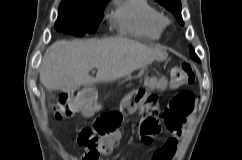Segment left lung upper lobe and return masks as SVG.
Listing matches in <instances>:
<instances>
[{
    "mask_svg": "<svg viewBox=\"0 0 242 160\" xmlns=\"http://www.w3.org/2000/svg\"><path fill=\"white\" fill-rule=\"evenodd\" d=\"M166 9L170 10L181 25H184L181 17V2L179 0H156ZM190 55L195 61H200V59L195 54L193 48L190 49Z\"/></svg>",
    "mask_w": 242,
    "mask_h": 160,
    "instance_id": "obj_1",
    "label": "left lung upper lobe"
}]
</instances>
